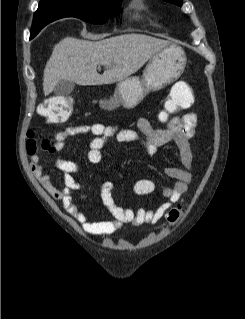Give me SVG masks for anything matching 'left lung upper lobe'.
I'll return each instance as SVG.
<instances>
[{"mask_svg":"<svg viewBox=\"0 0 245 319\" xmlns=\"http://www.w3.org/2000/svg\"><path fill=\"white\" fill-rule=\"evenodd\" d=\"M165 1L182 6V0H165Z\"/></svg>","mask_w":245,"mask_h":319,"instance_id":"left-lung-upper-lobe-1","label":"left lung upper lobe"}]
</instances>
